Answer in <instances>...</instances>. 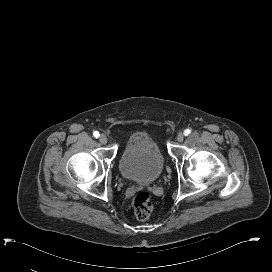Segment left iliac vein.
Returning a JSON list of instances; mask_svg holds the SVG:
<instances>
[{"instance_id": "1", "label": "left iliac vein", "mask_w": 272, "mask_h": 272, "mask_svg": "<svg viewBox=\"0 0 272 272\" xmlns=\"http://www.w3.org/2000/svg\"><path fill=\"white\" fill-rule=\"evenodd\" d=\"M184 137H185V134L182 133V132H180V133L177 135V141H178V142H183Z\"/></svg>"}]
</instances>
